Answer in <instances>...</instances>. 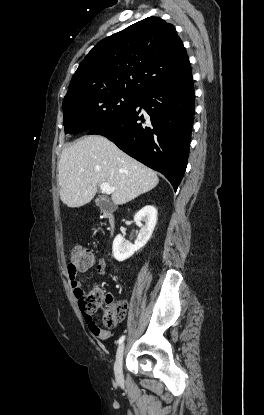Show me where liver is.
<instances>
[{"instance_id": "1", "label": "liver", "mask_w": 264, "mask_h": 415, "mask_svg": "<svg viewBox=\"0 0 264 415\" xmlns=\"http://www.w3.org/2000/svg\"><path fill=\"white\" fill-rule=\"evenodd\" d=\"M58 172L60 199L71 208L89 203L103 182L116 188L111 196L116 205L152 190L159 182L156 172L100 135L82 137L64 148Z\"/></svg>"}]
</instances>
